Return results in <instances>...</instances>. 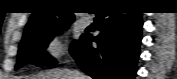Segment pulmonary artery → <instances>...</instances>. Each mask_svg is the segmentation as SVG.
Here are the masks:
<instances>
[{
    "label": "pulmonary artery",
    "mask_w": 177,
    "mask_h": 79,
    "mask_svg": "<svg viewBox=\"0 0 177 79\" xmlns=\"http://www.w3.org/2000/svg\"><path fill=\"white\" fill-rule=\"evenodd\" d=\"M90 22H91L90 18L86 16H83L80 20V24L83 28L88 27L90 25Z\"/></svg>",
    "instance_id": "1"
}]
</instances>
